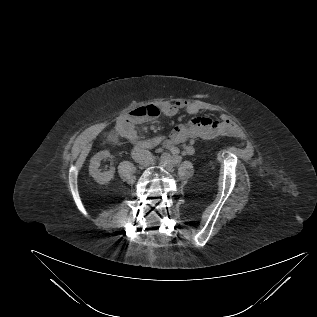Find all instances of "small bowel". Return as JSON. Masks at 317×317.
Returning a JSON list of instances; mask_svg holds the SVG:
<instances>
[{
	"label": "small bowel",
	"instance_id": "c3829d8e",
	"mask_svg": "<svg viewBox=\"0 0 317 317\" xmlns=\"http://www.w3.org/2000/svg\"><path fill=\"white\" fill-rule=\"evenodd\" d=\"M161 113L166 117H174L184 110L194 117L189 124H180L173 128L170 138L165 141V148L174 155L178 154V145L183 144V155H193L194 146L190 142L194 139L209 140L220 135L234 136L238 133L237 127L224 118L212 119L208 116H200L203 106L195 101H164L160 104ZM116 131L129 138L138 139L133 120L128 119L118 124Z\"/></svg>",
	"mask_w": 317,
	"mask_h": 317
}]
</instances>
